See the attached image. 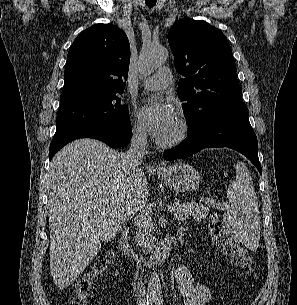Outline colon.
<instances>
[{"instance_id": "obj_1", "label": "colon", "mask_w": 297, "mask_h": 305, "mask_svg": "<svg viewBox=\"0 0 297 305\" xmlns=\"http://www.w3.org/2000/svg\"><path fill=\"white\" fill-rule=\"evenodd\" d=\"M209 233L213 244L229 260L248 273L253 272V259L246 248L227 229L222 219L214 214L209 222ZM107 261H98L92 268L74 283L69 305H90L96 290L94 281L107 269Z\"/></svg>"}]
</instances>
